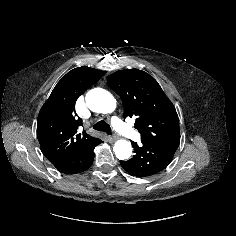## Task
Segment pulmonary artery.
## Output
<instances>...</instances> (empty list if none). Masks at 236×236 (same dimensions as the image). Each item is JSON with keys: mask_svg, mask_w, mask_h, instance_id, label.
I'll use <instances>...</instances> for the list:
<instances>
[{"mask_svg": "<svg viewBox=\"0 0 236 236\" xmlns=\"http://www.w3.org/2000/svg\"><path fill=\"white\" fill-rule=\"evenodd\" d=\"M112 122H113V125H114L115 129L119 133L124 135L125 137L131 138V139L139 138L138 133L134 129L127 126L125 123H123L118 118H113Z\"/></svg>", "mask_w": 236, "mask_h": 236, "instance_id": "obj_1", "label": "pulmonary artery"}]
</instances>
